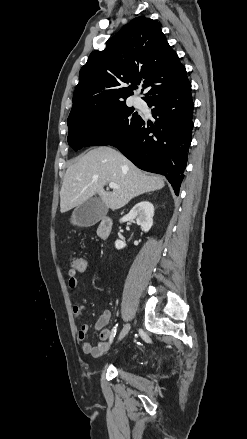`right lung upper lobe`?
Wrapping results in <instances>:
<instances>
[{
  "label": "right lung upper lobe",
  "instance_id": "1",
  "mask_svg": "<svg viewBox=\"0 0 247 439\" xmlns=\"http://www.w3.org/2000/svg\"><path fill=\"white\" fill-rule=\"evenodd\" d=\"M150 90L143 99L178 90L189 83L185 67L155 20L136 17L93 51L79 73L69 117L124 101L136 85Z\"/></svg>",
  "mask_w": 247,
  "mask_h": 439
}]
</instances>
